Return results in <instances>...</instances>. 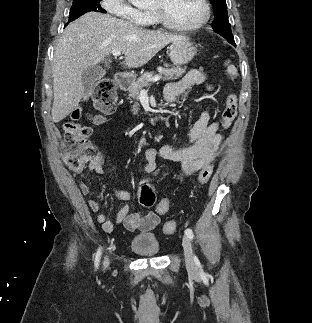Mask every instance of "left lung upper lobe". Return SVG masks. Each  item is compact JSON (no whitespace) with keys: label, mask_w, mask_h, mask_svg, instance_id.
Returning <instances> with one entry per match:
<instances>
[{"label":"left lung upper lobe","mask_w":312,"mask_h":323,"mask_svg":"<svg viewBox=\"0 0 312 323\" xmlns=\"http://www.w3.org/2000/svg\"><path fill=\"white\" fill-rule=\"evenodd\" d=\"M210 2L215 12V18L211 24L214 31L222 35L232 44H235L228 21L226 0H210Z\"/></svg>","instance_id":"left-lung-upper-lobe-1"}]
</instances>
